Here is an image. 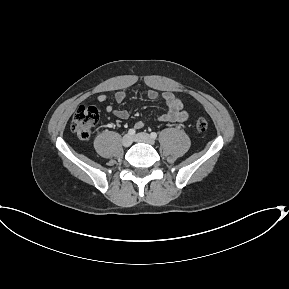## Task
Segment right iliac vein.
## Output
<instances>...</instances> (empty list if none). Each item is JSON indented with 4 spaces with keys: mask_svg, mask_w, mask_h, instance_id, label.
<instances>
[{
    "mask_svg": "<svg viewBox=\"0 0 289 289\" xmlns=\"http://www.w3.org/2000/svg\"><path fill=\"white\" fill-rule=\"evenodd\" d=\"M132 142H133V138H132L129 134H126V135L123 136V138H122V145H123L124 147H129V146H131Z\"/></svg>",
    "mask_w": 289,
    "mask_h": 289,
    "instance_id": "63e3f726",
    "label": "right iliac vein"
}]
</instances>
